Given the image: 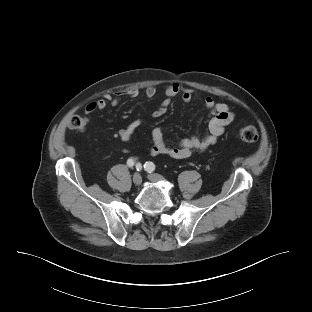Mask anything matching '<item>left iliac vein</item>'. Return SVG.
I'll return each mask as SVG.
<instances>
[{"mask_svg":"<svg viewBox=\"0 0 312 312\" xmlns=\"http://www.w3.org/2000/svg\"><path fill=\"white\" fill-rule=\"evenodd\" d=\"M148 179L152 182H158L163 180V177L159 174H149Z\"/></svg>","mask_w":312,"mask_h":312,"instance_id":"4c4485c4","label":"left iliac vein"}]
</instances>
